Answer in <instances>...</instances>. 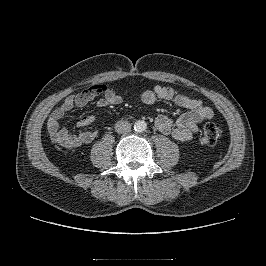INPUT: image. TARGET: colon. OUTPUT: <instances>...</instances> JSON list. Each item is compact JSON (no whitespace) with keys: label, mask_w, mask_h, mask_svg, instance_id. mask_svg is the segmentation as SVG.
Listing matches in <instances>:
<instances>
[{"label":"colon","mask_w":266,"mask_h":266,"mask_svg":"<svg viewBox=\"0 0 266 266\" xmlns=\"http://www.w3.org/2000/svg\"><path fill=\"white\" fill-rule=\"evenodd\" d=\"M105 91L103 85H95L87 90V94L90 97L102 94ZM222 131L220 127L214 123H205L202 127L200 134V143L203 146H213L220 139Z\"/></svg>","instance_id":"obj_1"}]
</instances>
